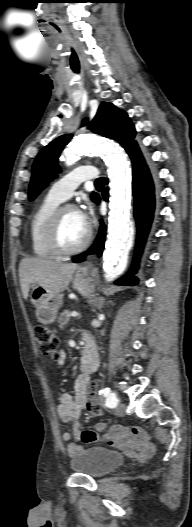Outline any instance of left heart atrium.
<instances>
[{"mask_svg":"<svg viewBox=\"0 0 192 527\" xmlns=\"http://www.w3.org/2000/svg\"><path fill=\"white\" fill-rule=\"evenodd\" d=\"M78 216L83 223V225L88 229L92 219V212L89 209L77 211Z\"/></svg>","mask_w":192,"mask_h":527,"instance_id":"left-heart-atrium-1","label":"left heart atrium"}]
</instances>
